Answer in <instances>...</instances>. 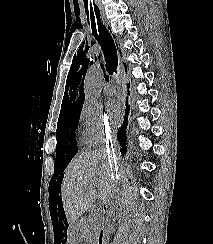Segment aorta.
I'll list each match as a JSON object with an SVG mask.
<instances>
[{
    "mask_svg": "<svg viewBox=\"0 0 213 244\" xmlns=\"http://www.w3.org/2000/svg\"><path fill=\"white\" fill-rule=\"evenodd\" d=\"M101 79V67L99 65H94L90 67L84 81L85 99L88 102L95 103L97 101L99 97V83Z\"/></svg>",
    "mask_w": 213,
    "mask_h": 244,
    "instance_id": "762f6f07",
    "label": "aorta"
}]
</instances>
